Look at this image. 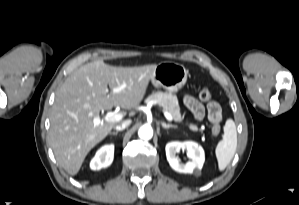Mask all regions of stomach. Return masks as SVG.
Masks as SVG:
<instances>
[{
  "instance_id": "0dacf381",
  "label": "stomach",
  "mask_w": 299,
  "mask_h": 205,
  "mask_svg": "<svg viewBox=\"0 0 299 205\" xmlns=\"http://www.w3.org/2000/svg\"><path fill=\"white\" fill-rule=\"evenodd\" d=\"M187 77L188 70L182 64L162 62L156 66L151 81L155 87L176 93L185 85Z\"/></svg>"
}]
</instances>
